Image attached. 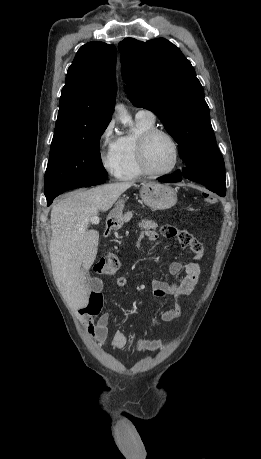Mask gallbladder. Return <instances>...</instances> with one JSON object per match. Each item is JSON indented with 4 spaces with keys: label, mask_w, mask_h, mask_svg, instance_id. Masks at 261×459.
I'll return each instance as SVG.
<instances>
[{
    "label": "gallbladder",
    "mask_w": 261,
    "mask_h": 459,
    "mask_svg": "<svg viewBox=\"0 0 261 459\" xmlns=\"http://www.w3.org/2000/svg\"><path fill=\"white\" fill-rule=\"evenodd\" d=\"M89 281H90V278L89 276L86 274V283L89 285Z\"/></svg>",
    "instance_id": "bac80fb5"
}]
</instances>
